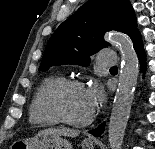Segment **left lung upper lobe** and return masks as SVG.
Instances as JSON below:
<instances>
[{
    "mask_svg": "<svg viewBox=\"0 0 155 149\" xmlns=\"http://www.w3.org/2000/svg\"><path fill=\"white\" fill-rule=\"evenodd\" d=\"M110 30L130 37L137 31L129 0H89L53 33L39 71L63 64L89 65V56L110 45L103 38Z\"/></svg>",
    "mask_w": 155,
    "mask_h": 149,
    "instance_id": "5c2ea615",
    "label": "left lung upper lobe"
}]
</instances>
